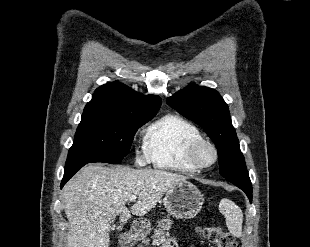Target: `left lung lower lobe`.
I'll list each match as a JSON object with an SVG mask.
<instances>
[{
  "label": "left lung lower lobe",
  "instance_id": "obj_1",
  "mask_svg": "<svg viewBox=\"0 0 310 247\" xmlns=\"http://www.w3.org/2000/svg\"><path fill=\"white\" fill-rule=\"evenodd\" d=\"M225 179L230 181L237 187H239L241 190H243L245 194L248 196L250 202H252V184L248 174L238 178H225Z\"/></svg>",
  "mask_w": 310,
  "mask_h": 247
}]
</instances>
